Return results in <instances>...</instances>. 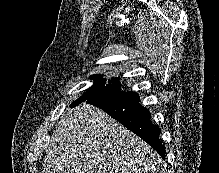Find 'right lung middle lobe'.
I'll list each match as a JSON object with an SVG mask.
<instances>
[{
    "label": "right lung middle lobe",
    "mask_w": 219,
    "mask_h": 173,
    "mask_svg": "<svg viewBox=\"0 0 219 173\" xmlns=\"http://www.w3.org/2000/svg\"><path fill=\"white\" fill-rule=\"evenodd\" d=\"M90 79L94 80V84L86 90V92L76 101H74L70 107L73 108L81 102L97 95H110L115 92H119L121 88V83L119 78H112L106 84V79L103 78V75H92Z\"/></svg>",
    "instance_id": "dd1d6c3e"
}]
</instances>
